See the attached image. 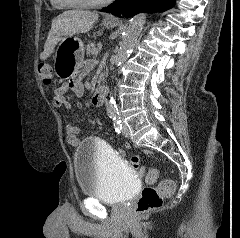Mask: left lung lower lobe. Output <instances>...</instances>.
I'll list each match as a JSON object with an SVG mask.
<instances>
[{
    "label": "left lung lower lobe",
    "instance_id": "1",
    "mask_svg": "<svg viewBox=\"0 0 240 238\" xmlns=\"http://www.w3.org/2000/svg\"><path fill=\"white\" fill-rule=\"evenodd\" d=\"M175 0H115L101 11L112 14H122L129 18L140 12H162L170 9Z\"/></svg>",
    "mask_w": 240,
    "mask_h": 238
}]
</instances>
